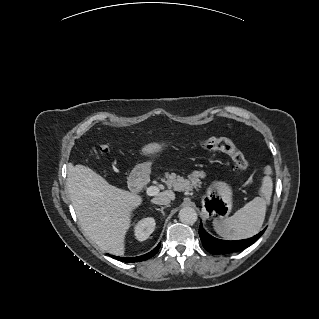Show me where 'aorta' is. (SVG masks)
Listing matches in <instances>:
<instances>
[{
	"label": "aorta",
	"instance_id": "762f6f07",
	"mask_svg": "<svg viewBox=\"0 0 319 319\" xmlns=\"http://www.w3.org/2000/svg\"><path fill=\"white\" fill-rule=\"evenodd\" d=\"M179 220L184 224H194L197 221V212L194 208L186 206L179 211Z\"/></svg>",
	"mask_w": 319,
	"mask_h": 319
}]
</instances>
